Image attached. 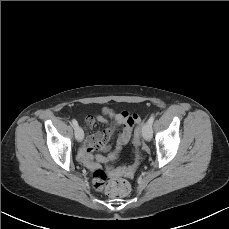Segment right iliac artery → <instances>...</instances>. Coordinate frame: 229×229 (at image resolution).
Masks as SVG:
<instances>
[{"label": "right iliac artery", "mask_w": 229, "mask_h": 229, "mask_svg": "<svg viewBox=\"0 0 229 229\" xmlns=\"http://www.w3.org/2000/svg\"><path fill=\"white\" fill-rule=\"evenodd\" d=\"M72 126L74 128L78 127V122L75 119L72 120Z\"/></svg>", "instance_id": "right-iliac-artery-1"}]
</instances>
